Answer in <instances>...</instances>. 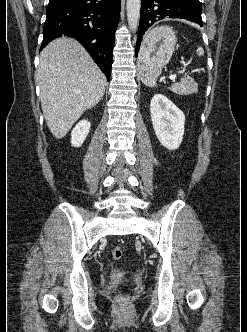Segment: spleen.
I'll use <instances>...</instances> for the list:
<instances>
[{"label":"spleen","instance_id":"1","mask_svg":"<svg viewBox=\"0 0 247 332\" xmlns=\"http://www.w3.org/2000/svg\"><path fill=\"white\" fill-rule=\"evenodd\" d=\"M204 53V50L202 47L197 48V54L199 56H202ZM143 82L146 86L149 87H156V83L152 79H143ZM174 93L179 94V95H186L191 93L194 90H197L196 87L194 88H187L185 87L182 83H174L172 87L170 88Z\"/></svg>","mask_w":247,"mask_h":332}]
</instances>
